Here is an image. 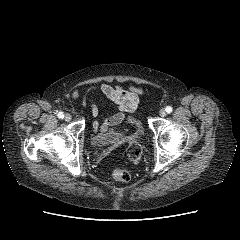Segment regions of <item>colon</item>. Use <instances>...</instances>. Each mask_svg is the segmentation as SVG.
Returning <instances> with one entry per match:
<instances>
[{"label":"colon","mask_w":240,"mask_h":240,"mask_svg":"<svg viewBox=\"0 0 240 240\" xmlns=\"http://www.w3.org/2000/svg\"><path fill=\"white\" fill-rule=\"evenodd\" d=\"M127 152H128V156L132 161H137L141 155V147L137 142H132L128 145ZM112 177L116 181H119L122 183H126L130 181V178H131L127 170L120 169V168L113 170Z\"/></svg>","instance_id":"colon-1"}]
</instances>
